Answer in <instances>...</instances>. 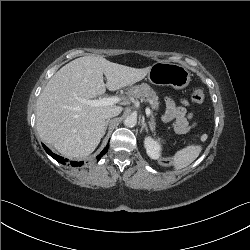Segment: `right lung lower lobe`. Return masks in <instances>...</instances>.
<instances>
[{
	"label": "right lung lower lobe",
	"instance_id": "1",
	"mask_svg": "<svg viewBox=\"0 0 250 250\" xmlns=\"http://www.w3.org/2000/svg\"><path fill=\"white\" fill-rule=\"evenodd\" d=\"M42 145H43L45 151H46L52 158H54L57 162L62 163V164H65V162L68 161L67 159H64V158L61 157V156H58V155H56V154H53V153L51 152V150L48 149L44 144H42ZM108 148H109V145H107V146L104 148V150L97 156V160H98V161H99L100 158L107 152ZM70 164H71L72 166H74V167H75V166H81V165L83 164V161H81V162L71 161Z\"/></svg>",
	"mask_w": 250,
	"mask_h": 250
}]
</instances>
